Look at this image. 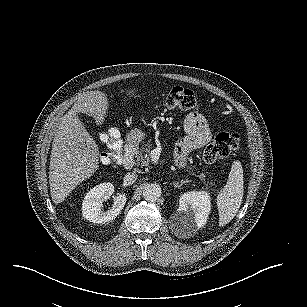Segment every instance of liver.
<instances>
[{"instance_id":"6515ba94","label":"liver","mask_w":307,"mask_h":307,"mask_svg":"<svg viewBox=\"0 0 307 307\" xmlns=\"http://www.w3.org/2000/svg\"><path fill=\"white\" fill-rule=\"evenodd\" d=\"M133 92V91H132ZM108 109L105 93L89 91L78 98L62 118L53 138L49 165L50 195L62 203L81 182L99 169V148L78 118L85 113L103 124Z\"/></svg>"}]
</instances>
